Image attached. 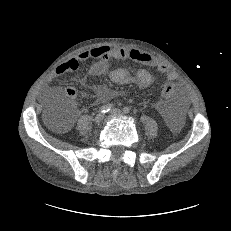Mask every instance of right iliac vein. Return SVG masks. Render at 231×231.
<instances>
[{
  "instance_id": "obj_1",
  "label": "right iliac vein",
  "mask_w": 231,
  "mask_h": 231,
  "mask_svg": "<svg viewBox=\"0 0 231 231\" xmlns=\"http://www.w3.org/2000/svg\"><path fill=\"white\" fill-rule=\"evenodd\" d=\"M103 118H104V114H103V113H99V114H97V115L95 116L94 122H95V123H100V122L103 120Z\"/></svg>"
}]
</instances>
